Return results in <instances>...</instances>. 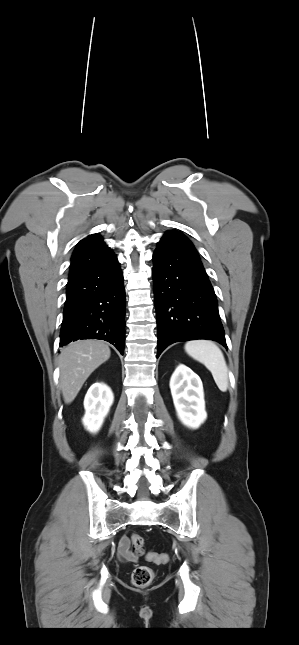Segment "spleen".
<instances>
[{"label":"spleen","mask_w":299,"mask_h":645,"mask_svg":"<svg viewBox=\"0 0 299 645\" xmlns=\"http://www.w3.org/2000/svg\"><path fill=\"white\" fill-rule=\"evenodd\" d=\"M185 351L206 366L220 391H227L228 368L224 355L216 344L209 340H193L185 344Z\"/></svg>","instance_id":"spleen-1"}]
</instances>
